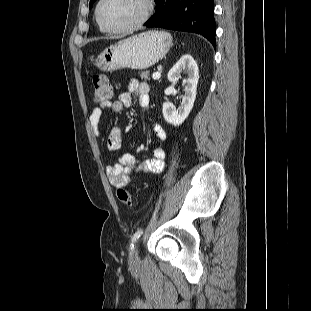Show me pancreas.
Instances as JSON below:
<instances>
[{"label": "pancreas", "instance_id": "pancreas-1", "mask_svg": "<svg viewBox=\"0 0 311 311\" xmlns=\"http://www.w3.org/2000/svg\"><path fill=\"white\" fill-rule=\"evenodd\" d=\"M140 77H141V79H144L145 81H149L150 80L148 71H142L140 73Z\"/></svg>", "mask_w": 311, "mask_h": 311}]
</instances>
